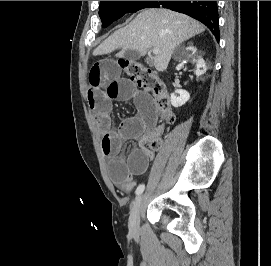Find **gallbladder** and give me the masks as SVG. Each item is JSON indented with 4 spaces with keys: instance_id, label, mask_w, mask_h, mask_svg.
<instances>
[{
    "instance_id": "gallbladder-1",
    "label": "gallbladder",
    "mask_w": 271,
    "mask_h": 266,
    "mask_svg": "<svg viewBox=\"0 0 271 266\" xmlns=\"http://www.w3.org/2000/svg\"><path fill=\"white\" fill-rule=\"evenodd\" d=\"M134 52L131 51V50H127L125 53H124V57L126 59H134L136 58L135 56H133ZM147 62H149V60H147Z\"/></svg>"
}]
</instances>
